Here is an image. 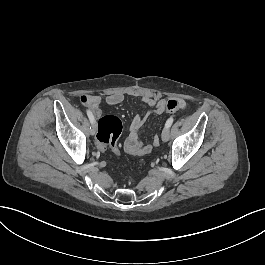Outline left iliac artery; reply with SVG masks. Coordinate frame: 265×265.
I'll return each mask as SVG.
<instances>
[{
    "instance_id": "1",
    "label": "left iliac artery",
    "mask_w": 265,
    "mask_h": 265,
    "mask_svg": "<svg viewBox=\"0 0 265 265\" xmlns=\"http://www.w3.org/2000/svg\"><path fill=\"white\" fill-rule=\"evenodd\" d=\"M174 121V118L173 117H170L167 121H166V124H165V127L169 128L172 123Z\"/></svg>"
}]
</instances>
